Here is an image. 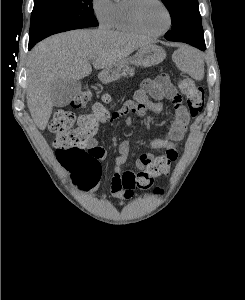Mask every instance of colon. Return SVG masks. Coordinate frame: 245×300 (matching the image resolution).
<instances>
[{
  "label": "colon",
  "instance_id": "colon-1",
  "mask_svg": "<svg viewBox=\"0 0 245 300\" xmlns=\"http://www.w3.org/2000/svg\"><path fill=\"white\" fill-rule=\"evenodd\" d=\"M179 88L187 97L190 115L196 117L204 108V90L190 78L180 79ZM91 98L92 91L83 88L73 98L71 106L84 107ZM109 102L110 98L105 97L104 103L94 105L91 113L77 119V126L74 112L66 109L58 110L50 123V129L55 134L53 145L58 160L71 172L75 182L85 189L94 187L100 177L99 152L90 148L89 143L97 134L100 124L109 118ZM152 184L153 178L147 173H139L135 179L136 188L142 190L151 188Z\"/></svg>",
  "mask_w": 245,
  "mask_h": 300
}]
</instances>
